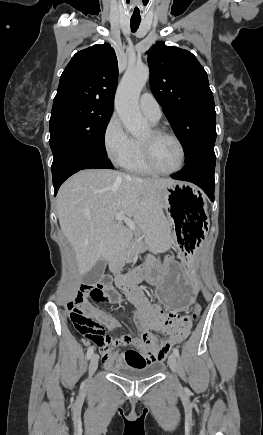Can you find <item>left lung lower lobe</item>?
Here are the masks:
<instances>
[{"label": "left lung lower lobe", "instance_id": "left-lung-lower-lobe-1", "mask_svg": "<svg viewBox=\"0 0 263 435\" xmlns=\"http://www.w3.org/2000/svg\"><path fill=\"white\" fill-rule=\"evenodd\" d=\"M215 163L214 146L205 147L186 160L184 170L172 178L198 185L214 201Z\"/></svg>", "mask_w": 263, "mask_h": 435}]
</instances>
